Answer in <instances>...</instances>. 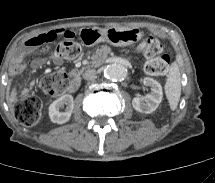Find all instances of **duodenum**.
Masks as SVG:
<instances>
[{
  "mask_svg": "<svg viewBox=\"0 0 215 183\" xmlns=\"http://www.w3.org/2000/svg\"><path fill=\"white\" fill-rule=\"evenodd\" d=\"M80 81L77 77H74L70 80L69 85L67 87L68 92H74L79 88Z\"/></svg>",
  "mask_w": 215,
  "mask_h": 183,
  "instance_id": "1",
  "label": "duodenum"
}]
</instances>
